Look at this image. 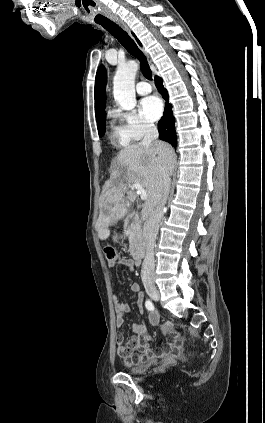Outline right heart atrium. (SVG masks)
<instances>
[{
  "label": "right heart atrium",
  "instance_id": "obj_1",
  "mask_svg": "<svg viewBox=\"0 0 265 423\" xmlns=\"http://www.w3.org/2000/svg\"><path fill=\"white\" fill-rule=\"evenodd\" d=\"M121 121V128L128 141H137L150 134L155 126L148 119L144 118L134 110L116 112Z\"/></svg>",
  "mask_w": 265,
  "mask_h": 423
}]
</instances>
